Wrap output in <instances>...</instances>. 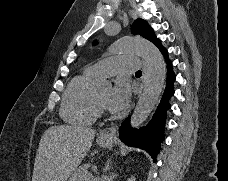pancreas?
Returning a JSON list of instances; mask_svg holds the SVG:
<instances>
[{"mask_svg": "<svg viewBox=\"0 0 228 181\" xmlns=\"http://www.w3.org/2000/svg\"><path fill=\"white\" fill-rule=\"evenodd\" d=\"M90 179H92V177L90 173H88L85 165H81L79 169H76V171L72 173V177H70V181H90Z\"/></svg>", "mask_w": 228, "mask_h": 181, "instance_id": "cf45deb5", "label": "pancreas"}]
</instances>
